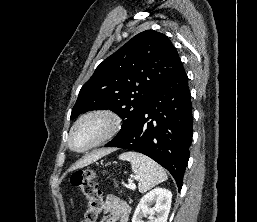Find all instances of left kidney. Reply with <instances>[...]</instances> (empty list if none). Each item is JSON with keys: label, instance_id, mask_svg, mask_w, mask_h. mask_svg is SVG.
Returning <instances> with one entry per match:
<instances>
[{"label": "left kidney", "instance_id": "5707ae66", "mask_svg": "<svg viewBox=\"0 0 257 222\" xmlns=\"http://www.w3.org/2000/svg\"><path fill=\"white\" fill-rule=\"evenodd\" d=\"M172 193L157 187L146 193L135 209L132 222H144L143 217L149 215L148 222H167L171 208ZM153 205V207H151ZM156 214V217L154 215Z\"/></svg>", "mask_w": 257, "mask_h": 222}]
</instances>
